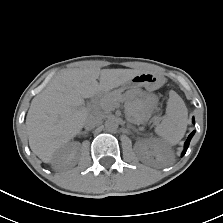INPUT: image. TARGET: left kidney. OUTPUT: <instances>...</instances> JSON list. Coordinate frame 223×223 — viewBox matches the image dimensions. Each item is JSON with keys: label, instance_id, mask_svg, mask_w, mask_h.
<instances>
[{"label": "left kidney", "instance_id": "obj_1", "mask_svg": "<svg viewBox=\"0 0 223 223\" xmlns=\"http://www.w3.org/2000/svg\"><path fill=\"white\" fill-rule=\"evenodd\" d=\"M136 152L140 160L155 167L169 166L174 161L170 146L157 139H146L136 143Z\"/></svg>", "mask_w": 223, "mask_h": 223}]
</instances>
